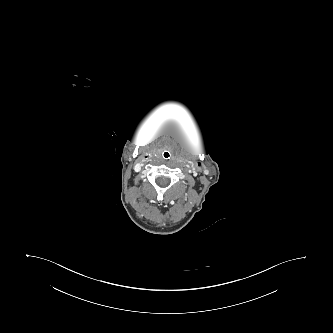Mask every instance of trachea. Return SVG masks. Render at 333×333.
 Returning a JSON list of instances; mask_svg holds the SVG:
<instances>
[{
  "label": "trachea",
  "instance_id": "3493384b",
  "mask_svg": "<svg viewBox=\"0 0 333 333\" xmlns=\"http://www.w3.org/2000/svg\"><path fill=\"white\" fill-rule=\"evenodd\" d=\"M164 157H165V158H168V157H169V153H168V152H165V153H164Z\"/></svg>",
  "mask_w": 333,
  "mask_h": 333
}]
</instances>
